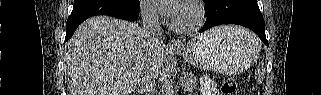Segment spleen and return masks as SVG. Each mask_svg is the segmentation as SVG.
Returning a JSON list of instances; mask_svg holds the SVG:
<instances>
[{"mask_svg":"<svg viewBox=\"0 0 321 95\" xmlns=\"http://www.w3.org/2000/svg\"><path fill=\"white\" fill-rule=\"evenodd\" d=\"M264 67H263V64H260L257 71H256V74H255V78H256V82L257 83H262L263 79H264Z\"/></svg>","mask_w":321,"mask_h":95,"instance_id":"obj_1","label":"spleen"}]
</instances>
